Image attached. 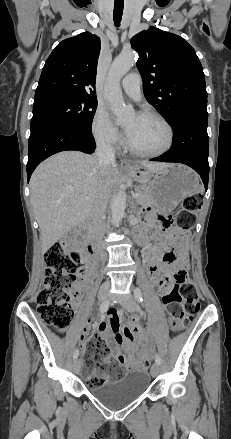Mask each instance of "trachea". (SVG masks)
<instances>
[{"instance_id": "trachea-1", "label": "trachea", "mask_w": 231, "mask_h": 439, "mask_svg": "<svg viewBox=\"0 0 231 439\" xmlns=\"http://www.w3.org/2000/svg\"><path fill=\"white\" fill-rule=\"evenodd\" d=\"M123 3H116L114 4V11H113V20L116 27L120 26L121 18L123 15Z\"/></svg>"}]
</instances>
